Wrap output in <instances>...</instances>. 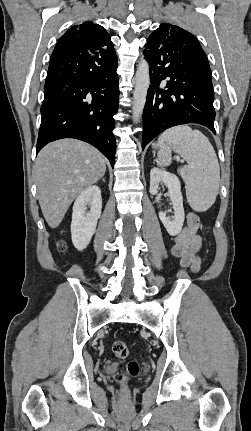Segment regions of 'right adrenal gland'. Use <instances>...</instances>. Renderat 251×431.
I'll return each mask as SVG.
<instances>
[{
    "mask_svg": "<svg viewBox=\"0 0 251 431\" xmlns=\"http://www.w3.org/2000/svg\"><path fill=\"white\" fill-rule=\"evenodd\" d=\"M102 181L105 182V178H103Z\"/></svg>",
    "mask_w": 251,
    "mask_h": 431,
    "instance_id": "obj_1",
    "label": "right adrenal gland"
}]
</instances>
